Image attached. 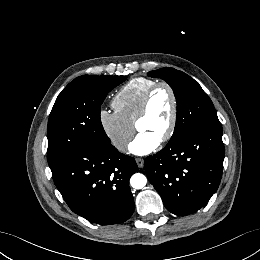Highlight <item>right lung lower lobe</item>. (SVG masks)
Wrapping results in <instances>:
<instances>
[{"instance_id":"98d812e1","label":"right lung lower lobe","mask_w":260,"mask_h":260,"mask_svg":"<svg viewBox=\"0 0 260 260\" xmlns=\"http://www.w3.org/2000/svg\"><path fill=\"white\" fill-rule=\"evenodd\" d=\"M57 189L70 209L92 223L125 222L134 211L129 187L137 171L134 158L109 149L82 148L50 167Z\"/></svg>"}]
</instances>
